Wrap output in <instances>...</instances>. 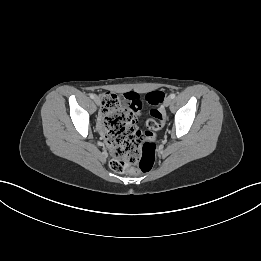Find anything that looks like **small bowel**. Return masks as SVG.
Returning a JSON list of instances; mask_svg holds the SVG:
<instances>
[{
  "label": "small bowel",
  "mask_w": 261,
  "mask_h": 261,
  "mask_svg": "<svg viewBox=\"0 0 261 261\" xmlns=\"http://www.w3.org/2000/svg\"><path fill=\"white\" fill-rule=\"evenodd\" d=\"M131 94H134V93L126 94L125 99H127ZM138 113H139V109L135 110L134 112H131L134 123H136V116H137Z\"/></svg>",
  "instance_id": "small-bowel-1"
}]
</instances>
